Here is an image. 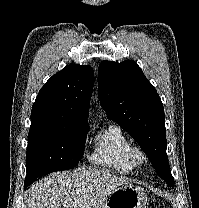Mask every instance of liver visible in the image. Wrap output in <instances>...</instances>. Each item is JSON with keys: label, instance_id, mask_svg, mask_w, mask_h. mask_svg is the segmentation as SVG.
<instances>
[{"label": "liver", "instance_id": "1", "mask_svg": "<svg viewBox=\"0 0 199 208\" xmlns=\"http://www.w3.org/2000/svg\"><path fill=\"white\" fill-rule=\"evenodd\" d=\"M123 185H129V180L106 170L53 173L27 191V208H94Z\"/></svg>", "mask_w": 199, "mask_h": 208}]
</instances>
